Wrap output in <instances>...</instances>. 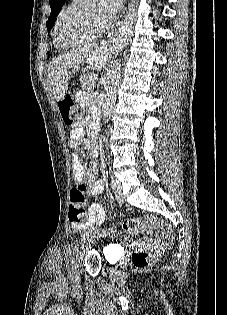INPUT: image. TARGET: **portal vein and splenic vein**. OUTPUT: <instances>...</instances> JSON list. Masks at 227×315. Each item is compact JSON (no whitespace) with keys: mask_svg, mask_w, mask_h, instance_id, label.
I'll return each instance as SVG.
<instances>
[{"mask_svg":"<svg viewBox=\"0 0 227 315\" xmlns=\"http://www.w3.org/2000/svg\"><path fill=\"white\" fill-rule=\"evenodd\" d=\"M92 78L96 80L98 78V75L93 73Z\"/></svg>","mask_w":227,"mask_h":315,"instance_id":"portal-vein-and-splenic-vein-1","label":"portal vein and splenic vein"}]
</instances>
